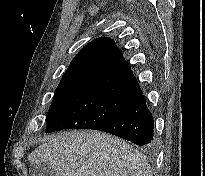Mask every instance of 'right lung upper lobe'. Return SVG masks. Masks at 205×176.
I'll return each mask as SVG.
<instances>
[{
	"instance_id": "right-lung-upper-lobe-1",
	"label": "right lung upper lobe",
	"mask_w": 205,
	"mask_h": 176,
	"mask_svg": "<svg viewBox=\"0 0 205 176\" xmlns=\"http://www.w3.org/2000/svg\"><path fill=\"white\" fill-rule=\"evenodd\" d=\"M101 92L128 100L142 93L129 64L110 38L88 43L72 60L55 96Z\"/></svg>"
}]
</instances>
